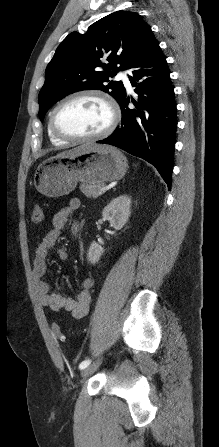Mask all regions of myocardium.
<instances>
[{"label": "myocardium", "mask_w": 219, "mask_h": 447, "mask_svg": "<svg viewBox=\"0 0 219 447\" xmlns=\"http://www.w3.org/2000/svg\"><path fill=\"white\" fill-rule=\"evenodd\" d=\"M81 97H95L99 100H101L107 107L110 113V119L107 124V126L100 132L89 135V136H72L69 134H66L59 130L56 124V115L59 109L69 101H72L77 98ZM120 118V111L117 103L114 101V99L107 93L96 90V89H83L76 92H73L63 99H61L57 105L54 107V109L51 112L50 118H49V125L51 128V131L55 136L58 138L66 141V142H72V143H81V142H89V141H96L102 138L107 137L110 135L116 128Z\"/></svg>", "instance_id": "myocardium-1"}]
</instances>
